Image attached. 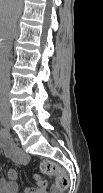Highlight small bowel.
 <instances>
[{
    "instance_id": "c3829d8e",
    "label": "small bowel",
    "mask_w": 103,
    "mask_h": 193,
    "mask_svg": "<svg viewBox=\"0 0 103 193\" xmlns=\"http://www.w3.org/2000/svg\"><path fill=\"white\" fill-rule=\"evenodd\" d=\"M1 146L5 154L10 157L16 164L26 165L29 163V156L21 151L14 143L7 140L6 138L1 140ZM7 180L1 182V193H19L17 179V171L15 169H8L6 172ZM37 182V187H29L25 189L24 193H62V190L56 186L52 185L50 190H48V182L40 180L38 176L34 177Z\"/></svg>"
}]
</instances>
